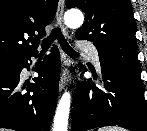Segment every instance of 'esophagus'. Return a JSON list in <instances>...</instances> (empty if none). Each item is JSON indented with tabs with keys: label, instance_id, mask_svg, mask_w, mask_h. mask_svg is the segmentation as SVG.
<instances>
[{
	"label": "esophagus",
	"instance_id": "esophagus-1",
	"mask_svg": "<svg viewBox=\"0 0 147 131\" xmlns=\"http://www.w3.org/2000/svg\"><path fill=\"white\" fill-rule=\"evenodd\" d=\"M64 4H65V0H59L56 17H57V21L61 26L63 34L65 36H68L69 35L68 29L63 23ZM69 65H70V61L68 59H65L63 62V68L59 82V91H62L64 89L65 85L67 84V82L71 77Z\"/></svg>",
	"mask_w": 147,
	"mask_h": 131
}]
</instances>
